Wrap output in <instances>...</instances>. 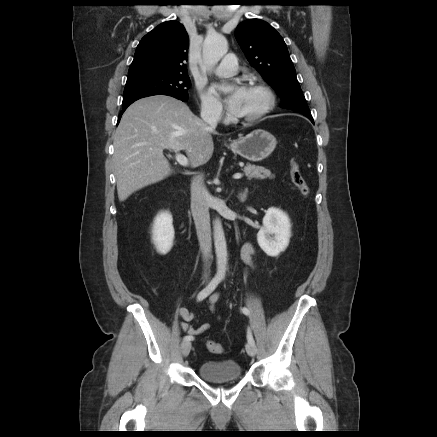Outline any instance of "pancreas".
Listing matches in <instances>:
<instances>
[{"label": "pancreas", "instance_id": "obj_1", "mask_svg": "<svg viewBox=\"0 0 437 437\" xmlns=\"http://www.w3.org/2000/svg\"><path fill=\"white\" fill-rule=\"evenodd\" d=\"M244 173L248 179L256 178V179H266V178H274V175L270 172V170L262 167L255 166L251 164H247L244 167Z\"/></svg>", "mask_w": 437, "mask_h": 437}]
</instances>
